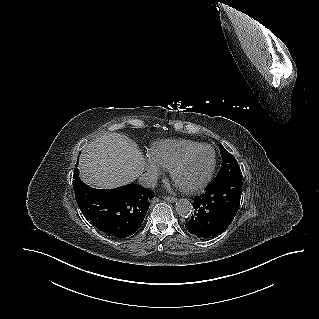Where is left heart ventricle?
<instances>
[{
    "instance_id": "b2bd125f",
    "label": "left heart ventricle",
    "mask_w": 319,
    "mask_h": 319,
    "mask_svg": "<svg viewBox=\"0 0 319 319\" xmlns=\"http://www.w3.org/2000/svg\"><path fill=\"white\" fill-rule=\"evenodd\" d=\"M213 161L212 151L208 148L198 150L177 172L176 182L180 187L189 188L200 183Z\"/></svg>"
}]
</instances>
